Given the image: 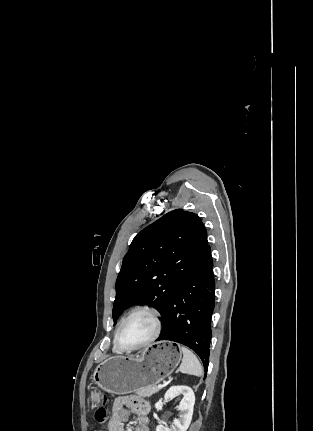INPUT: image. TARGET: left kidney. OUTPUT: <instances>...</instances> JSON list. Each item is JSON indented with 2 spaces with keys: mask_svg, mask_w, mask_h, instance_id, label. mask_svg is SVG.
<instances>
[{
  "mask_svg": "<svg viewBox=\"0 0 313 431\" xmlns=\"http://www.w3.org/2000/svg\"><path fill=\"white\" fill-rule=\"evenodd\" d=\"M182 395V401L177 409L180 411L178 418L174 419L173 425L165 427L158 425L156 431H187L193 415V407L195 404V395L193 390L188 386H172L165 393V400L174 398L175 396Z\"/></svg>",
  "mask_w": 313,
  "mask_h": 431,
  "instance_id": "5707ae66",
  "label": "left kidney"
}]
</instances>
